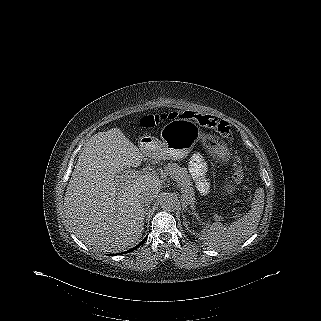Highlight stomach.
<instances>
[{
	"label": "stomach",
	"mask_w": 321,
	"mask_h": 321,
	"mask_svg": "<svg viewBox=\"0 0 321 321\" xmlns=\"http://www.w3.org/2000/svg\"><path fill=\"white\" fill-rule=\"evenodd\" d=\"M160 139L152 136H142L139 144L142 148L152 149L162 158L182 159L193 149L198 141L220 158L227 157L226 144L215 136H205L198 125L188 119H175L163 126Z\"/></svg>",
	"instance_id": "stomach-1"
}]
</instances>
